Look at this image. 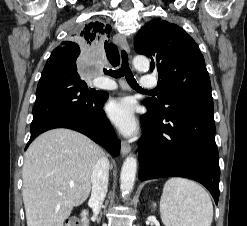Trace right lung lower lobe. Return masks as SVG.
Returning <instances> with one entry per match:
<instances>
[{"mask_svg":"<svg viewBox=\"0 0 247 226\" xmlns=\"http://www.w3.org/2000/svg\"><path fill=\"white\" fill-rule=\"evenodd\" d=\"M80 49L58 46L51 53L39 80L33 107L31 137L54 128H69L87 135L112 155L120 141L103 110L105 97L88 89L76 69Z\"/></svg>","mask_w":247,"mask_h":226,"instance_id":"1","label":"right lung lower lobe"}]
</instances>
